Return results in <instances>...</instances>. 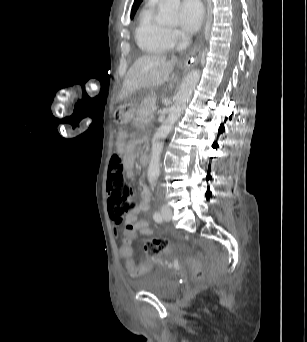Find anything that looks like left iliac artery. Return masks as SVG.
Here are the masks:
<instances>
[{
    "instance_id": "1",
    "label": "left iliac artery",
    "mask_w": 307,
    "mask_h": 342,
    "mask_svg": "<svg viewBox=\"0 0 307 342\" xmlns=\"http://www.w3.org/2000/svg\"><path fill=\"white\" fill-rule=\"evenodd\" d=\"M153 218L156 222H161L162 221V217L160 215L159 212H155L154 215H153Z\"/></svg>"
}]
</instances>
